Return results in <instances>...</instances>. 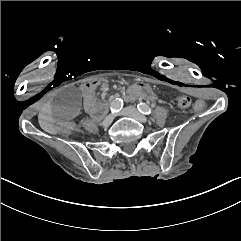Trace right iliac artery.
Masks as SVG:
<instances>
[{"mask_svg":"<svg viewBox=\"0 0 241 241\" xmlns=\"http://www.w3.org/2000/svg\"><path fill=\"white\" fill-rule=\"evenodd\" d=\"M123 107V100L121 98H116L110 106V110L112 113L119 112Z\"/></svg>","mask_w":241,"mask_h":241,"instance_id":"82829eb1","label":"right iliac artery"}]
</instances>
